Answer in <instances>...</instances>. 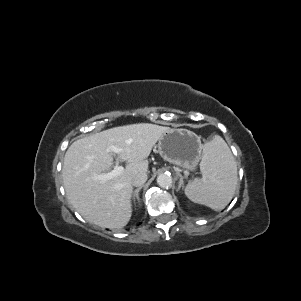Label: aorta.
Here are the masks:
<instances>
[{
	"label": "aorta",
	"mask_w": 301,
	"mask_h": 301,
	"mask_svg": "<svg viewBox=\"0 0 301 301\" xmlns=\"http://www.w3.org/2000/svg\"><path fill=\"white\" fill-rule=\"evenodd\" d=\"M157 184L161 188H169L172 185V177L168 173L159 174L157 177Z\"/></svg>",
	"instance_id": "1"
}]
</instances>
